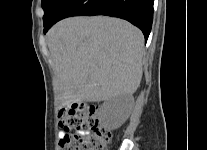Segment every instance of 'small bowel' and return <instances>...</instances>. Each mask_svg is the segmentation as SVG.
I'll use <instances>...</instances> for the list:
<instances>
[{"label": "small bowel", "instance_id": "obj_1", "mask_svg": "<svg viewBox=\"0 0 207 150\" xmlns=\"http://www.w3.org/2000/svg\"><path fill=\"white\" fill-rule=\"evenodd\" d=\"M58 136H59L60 139H62V138H64V137H66L67 134H66L64 131H60V132L58 133Z\"/></svg>", "mask_w": 207, "mask_h": 150}]
</instances>
